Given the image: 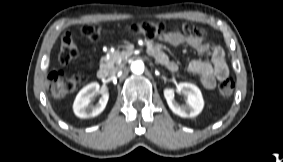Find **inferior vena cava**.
Masks as SVG:
<instances>
[{
  "label": "inferior vena cava",
  "mask_w": 283,
  "mask_h": 162,
  "mask_svg": "<svg viewBox=\"0 0 283 162\" xmlns=\"http://www.w3.org/2000/svg\"><path fill=\"white\" fill-rule=\"evenodd\" d=\"M119 70H120V68H114V69L111 71V75L114 76Z\"/></svg>",
  "instance_id": "602c4592"
}]
</instances>
